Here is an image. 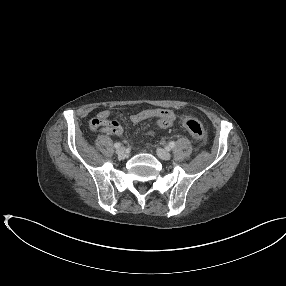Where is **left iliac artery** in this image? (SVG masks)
I'll use <instances>...</instances> for the list:
<instances>
[{
  "label": "left iliac artery",
  "instance_id": "obj_1",
  "mask_svg": "<svg viewBox=\"0 0 286 286\" xmlns=\"http://www.w3.org/2000/svg\"><path fill=\"white\" fill-rule=\"evenodd\" d=\"M168 147H169L170 149H173V148L175 147V142H174V141H171V142L169 143Z\"/></svg>",
  "mask_w": 286,
  "mask_h": 286
}]
</instances>
